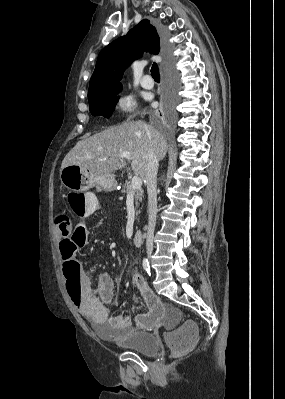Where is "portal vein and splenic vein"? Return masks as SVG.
Listing matches in <instances>:
<instances>
[{
    "mask_svg": "<svg viewBox=\"0 0 285 399\" xmlns=\"http://www.w3.org/2000/svg\"><path fill=\"white\" fill-rule=\"evenodd\" d=\"M120 157H121V158H126V159H128V160H131V155H130V153H128V152H120ZM141 186H142V180H141V178L138 177V176H134V177L132 178V182H131V187H132V189H133V190L139 189V188H141Z\"/></svg>",
    "mask_w": 285,
    "mask_h": 399,
    "instance_id": "1",
    "label": "portal vein and splenic vein"
}]
</instances>
